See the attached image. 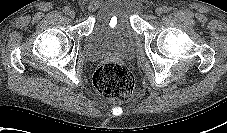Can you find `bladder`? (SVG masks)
Wrapping results in <instances>:
<instances>
[{"instance_id":"obj_1","label":"bladder","mask_w":227,"mask_h":133,"mask_svg":"<svg viewBox=\"0 0 227 133\" xmlns=\"http://www.w3.org/2000/svg\"><path fill=\"white\" fill-rule=\"evenodd\" d=\"M137 8V0H104L86 38L85 57L96 60L106 56H131L137 39L132 17Z\"/></svg>"}]
</instances>
